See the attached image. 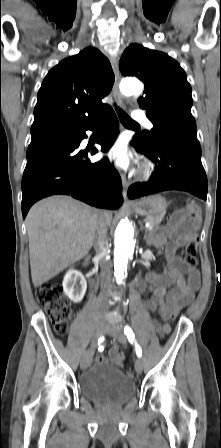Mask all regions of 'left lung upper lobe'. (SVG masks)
<instances>
[{
	"label": "left lung upper lobe",
	"mask_w": 221,
	"mask_h": 448,
	"mask_svg": "<svg viewBox=\"0 0 221 448\" xmlns=\"http://www.w3.org/2000/svg\"><path fill=\"white\" fill-rule=\"evenodd\" d=\"M119 67L124 76H136L144 82L145 96L139 105L146 109L153 129L134 137L139 145L153 148L158 140L198 143L191 114V86L177 61L163 52L131 44Z\"/></svg>",
	"instance_id": "left-lung-upper-lobe-1"
}]
</instances>
